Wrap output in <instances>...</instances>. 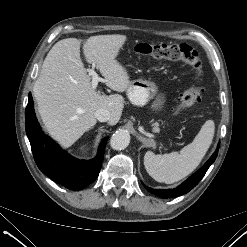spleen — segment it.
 <instances>
[{
	"label": "spleen",
	"instance_id": "spleen-1",
	"mask_svg": "<svg viewBox=\"0 0 247 247\" xmlns=\"http://www.w3.org/2000/svg\"><path fill=\"white\" fill-rule=\"evenodd\" d=\"M215 132L214 121L204 123L192 143L180 150L164 155L147 151L144 165L148 174L158 182L171 184L192 173L206 155Z\"/></svg>",
	"mask_w": 247,
	"mask_h": 247
}]
</instances>
